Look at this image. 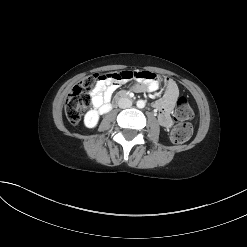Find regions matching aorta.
<instances>
[{"instance_id": "762f6f07", "label": "aorta", "mask_w": 247, "mask_h": 247, "mask_svg": "<svg viewBox=\"0 0 247 247\" xmlns=\"http://www.w3.org/2000/svg\"><path fill=\"white\" fill-rule=\"evenodd\" d=\"M137 107L138 108H144L145 107V101L144 100H138L137 103H136Z\"/></svg>"}]
</instances>
